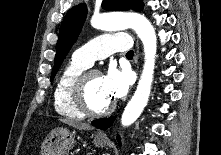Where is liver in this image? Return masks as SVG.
<instances>
[{"instance_id":"obj_1","label":"liver","mask_w":221,"mask_h":155,"mask_svg":"<svg viewBox=\"0 0 221 155\" xmlns=\"http://www.w3.org/2000/svg\"><path fill=\"white\" fill-rule=\"evenodd\" d=\"M60 121L63 122L64 124H68L69 126H72L74 128L80 129V130L93 129V127L90 126L89 124L79 122V121H74V120H70V119H60Z\"/></svg>"}]
</instances>
